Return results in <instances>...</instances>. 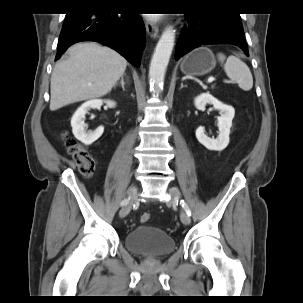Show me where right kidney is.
I'll return each instance as SVG.
<instances>
[{
  "label": "right kidney",
  "instance_id": "right-kidney-1",
  "mask_svg": "<svg viewBox=\"0 0 303 303\" xmlns=\"http://www.w3.org/2000/svg\"><path fill=\"white\" fill-rule=\"evenodd\" d=\"M103 103L108 107H114L116 103L110 100L93 99L83 103L74 113L71 118L72 132L74 136L85 145H91L95 142L104 132V127L100 126L93 132H87V125L84 123L85 115L90 109H98Z\"/></svg>",
  "mask_w": 303,
  "mask_h": 303
}]
</instances>
